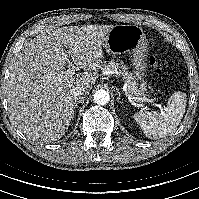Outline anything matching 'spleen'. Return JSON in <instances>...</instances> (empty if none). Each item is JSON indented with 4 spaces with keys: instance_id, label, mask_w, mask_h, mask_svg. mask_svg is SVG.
Wrapping results in <instances>:
<instances>
[{
    "instance_id": "spleen-1",
    "label": "spleen",
    "mask_w": 199,
    "mask_h": 199,
    "mask_svg": "<svg viewBox=\"0 0 199 199\" xmlns=\"http://www.w3.org/2000/svg\"><path fill=\"white\" fill-rule=\"evenodd\" d=\"M185 108L186 94L178 91L169 98L163 111H140L134 119L148 138H163L175 131L184 116Z\"/></svg>"
}]
</instances>
